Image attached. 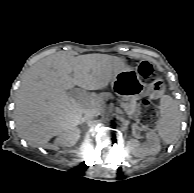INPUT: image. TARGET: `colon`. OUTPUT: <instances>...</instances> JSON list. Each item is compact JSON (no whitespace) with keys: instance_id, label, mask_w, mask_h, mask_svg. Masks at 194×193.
<instances>
[{"instance_id":"1","label":"colon","mask_w":194,"mask_h":193,"mask_svg":"<svg viewBox=\"0 0 194 193\" xmlns=\"http://www.w3.org/2000/svg\"><path fill=\"white\" fill-rule=\"evenodd\" d=\"M137 72L145 79H150L154 74V68L152 64L147 61H141L137 63ZM151 102L148 99L143 100V105L148 106Z\"/></svg>"}]
</instances>
